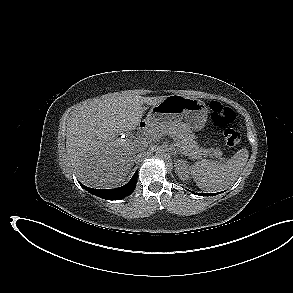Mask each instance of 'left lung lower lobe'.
<instances>
[{
    "mask_svg": "<svg viewBox=\"0 0 293 293\" xmlns=\"http://www.w3.org/2000/svg\"><path fill=\"white\" fill-rule=\"evenodd\" d=\"M218 193H199L198 195L200 196H214L217 195Z\"/></svg>",
    "mask_w": 293,
    "mask_h": 293,
    "instance_id": "left-lung-lower-lobe-1",
    "label": "left lung lower lobe"
}]
</instances>
